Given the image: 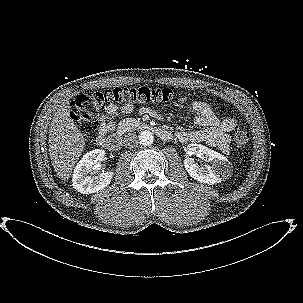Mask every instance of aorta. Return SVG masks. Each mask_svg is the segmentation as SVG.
I'll return each instance as SVG.
<instances>
[{"mask_svg":"<svg viewBox=\"0 0 303 303\" xmlns=\"http://www.w3.org/2000/svg\"><path fill=\"white\" fill-rule=\"evenodd\" d=\"M139 142L143 146H150L154 142V136L151 131H142L139 135Z\"/></svg>","mask_w":303,"mask_h":303,"instance_id":"obj_1","label":"aorta"}]
</instances>
